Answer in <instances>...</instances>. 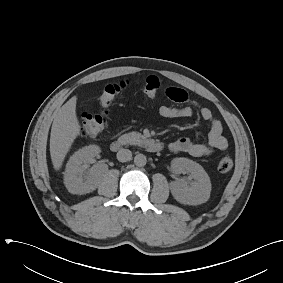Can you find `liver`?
<instances>
[{"label": "liver", "instance_id": "6515ba94", "mask_svg": "<svg viewBox=\"0 0 283 283\" xmlns=\"http://www.w3.org/2000/svg\"><path fill=\"white\" fill-rule=\"evenodd\" d=\"M76 101L77 97H72L54 114L50 135V155L55 170L62 167L66 154L81 131L76 115Z\"/></svg>", "mask_w": 283, "mask_h": 283}]
</instances>
